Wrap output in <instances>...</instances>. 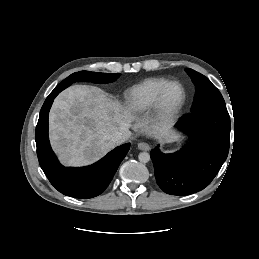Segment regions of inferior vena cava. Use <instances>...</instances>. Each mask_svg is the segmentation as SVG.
<instances>
[{
  "label": "inferior vena cava",
  "mask_w": 259,
  "mask_h": 259,
  "mask_svg": "<svg viewBox=\"0 0 259 259\" xmlns=\"http://www.w3.org/2000/svg\"><path fill=\"white\" fill-rule=\"evenodd\" d=\"M128 134H129L128 131L127 132H116V133L110 135L108 137V140L111 143H113L115 145H118V144H121L128 139Z\"/></svg>",
  "instance_id": "1"
}]
</instances>
